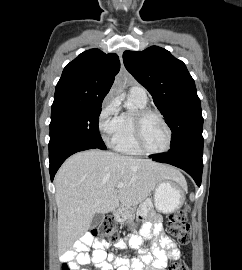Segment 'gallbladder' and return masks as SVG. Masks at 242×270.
Masks as SVG:
<instances>
[{
	"label": "gallbladder",
	"instance_id": "1",
	"mask_svg": "<svg viewBox=\"0 0 242 270\" xmlns=\"http://www.w3.org/2000/svg\"><path fill=\"white\" fill-rule=\"evenodd\" d=\"M104 218L105 216L103 213H96L92 218L91 227L99 226L103 222Z\"/></svg>",
	"mask_w": 242,
	"mask_h": 270
}]
</instances>
